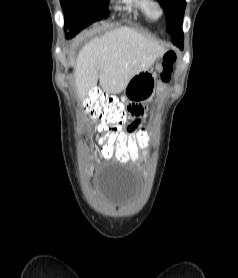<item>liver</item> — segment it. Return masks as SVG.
<instances>
[{
    "label": "liver",
    "mask_w": 238,
    "mask_h": 278,
    "mask_svg": "<svg viewBox=\"0 0 238 278\" xmlns=\"http://www.w3.org/2000/svg\"><path fill=\"white\" fill-rule=\"evenodd\" d=\"M164 52L158 41L129 27L93 39L74 63L77 96L83 98L96 88L98 78L106 93H121L134 75L149 70Z\"/></svg>",
    "instance_id": "6515ba94"
}]
</instances>
